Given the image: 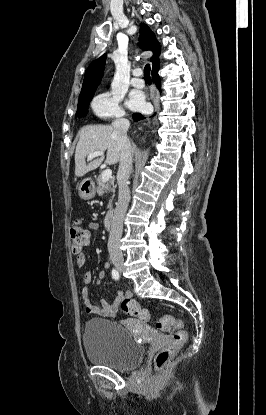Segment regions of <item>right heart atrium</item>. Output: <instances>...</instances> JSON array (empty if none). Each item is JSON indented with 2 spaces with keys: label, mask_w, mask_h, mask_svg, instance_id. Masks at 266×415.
<instances>
[{
  "label": "right heart atrium",
  "mask_w": 266,
  "mask_h": 415,
  "mask_svg": "<svg viewBox=\"0 0 266 415\" xmlns=\"http://www.w3.org/2000/svg\"><path fill=\"white\" fill-rule=\"evenodd\" d=\"M120 99L118 94L107 91L93 99L91 108L100 118H119L124 115V111L120 106Z\"/></svg>",
  "instance_id": "1"
}]
</instances>
